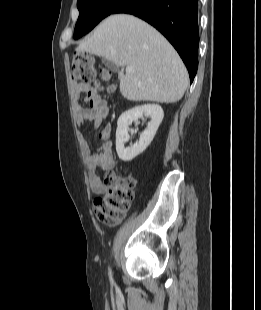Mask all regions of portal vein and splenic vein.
<instances>
[{"mask_svg": "<svg viewBox=\"0 0 261 310\" xmlns=\"http://www.w3.org/2000/svg\"><path fill=\"white\" fill-rule=\"evenodd\" d=\"M133 71H134L133 67H131V66H127V67H126V72H127V73H131V72H133Z\"/></svg>", "mask_w": 261, "mask_h": 310, "instance_id": "18ae733b", "label": "portal vein and splenic vein"}]
</instances>
